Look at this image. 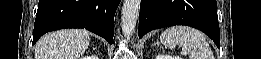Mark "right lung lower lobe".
<instances>
[{
    "mask_svg": "<svg viewBox=\"0 0 261 59\" xmlns=\"http://www.w3.org/2000/svg\"><path fill=\"white\" fill-rule=\"evenodd\" d=\"M120 0H39L33 43L45 33L85 28L113 43V22Z\"/></svg>",
    "mask_w": 261,
    "mask_h": 59,
    "instance_id": "right-lung-lower-lobe-1",
    "label": "right lung lower lobe"
}]
</instances>
